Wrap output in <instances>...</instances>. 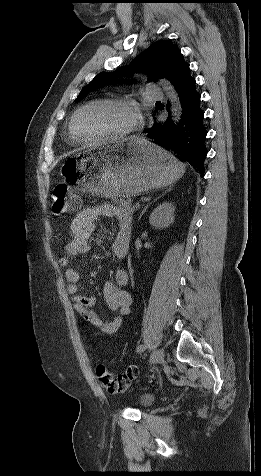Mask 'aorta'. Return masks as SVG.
Returning <instances> with one entry per match:
<instances>
[{"label":"aorta","instance_id":"aorta-1","mask_svg":"<svg viewBox=\"0 0 261 476\" xmlns=\"http://www.w3.org/2000/svg\"><path fill=\"white\" fill-rule=\"evenodd\" d=\"M160 84L162 85L164 91H166L171 102L172 119L176 123L178 122L181 115V105L178 95L169 81L161 79Z\"/></svg>","mask_w":261,"mask_h":476}]
</instances>
